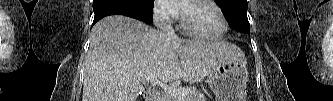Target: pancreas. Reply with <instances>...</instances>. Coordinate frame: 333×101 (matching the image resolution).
I'll return each instance as SVG.
<instances>
[{"instance_id":"pancreas-1","label":"pancreas","mask_w":333,"mask_h":101,"mask_svg":"<svg viewBox=\"0 0 333 101\" xmlns=\"http://www.w3.org/2000/svg\"><path fill=\"white\" fill-rule=\"evenodd\" d=\"M187 89L189 92L184 96V101H205L204 94L198 91L195 87H190ZM161 101H178V99L166 92L162 95Z\"/></svg>"}]
</instances>
